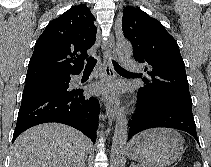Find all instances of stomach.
Masks as SVG:
<instances>
[{
	"instance_id": "obj_1",
	"label": "stomach",
	"mask_w": 211,
	"mask_h": 167,
	"mask_svg": "<svg viewBox=\"0 0 211 167\" xmlns=\"http://www.w3.org/2000/svg\"><path fill=\"white\" fill-rule=\"evenodd\" d=\"M183 148L184 141L178 132L156 128L134 138L128 146V156L143 167H168L181 157Z\"/></svg>"
}]
</instances>
